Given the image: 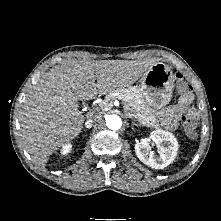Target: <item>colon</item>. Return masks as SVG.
<instances>
[{"label":"colon","instance_id":"obj_1","mask_svg":"<svg viewBox=\"0 0 221 221\" xmlns=\"http://www.w3.org/2000/svg\"><path fill=\"white\" fill-rule=\"evenodd\" d=\"M175 84L177 89L183 94V96L189 97L191 95L190 85L184 81L183 76L180 73L175 75ZM182 127L184 132L189 137H195L196 135V119L194 115L188 114L182 118Z\"/></svg>","mask_w":221,"mask_h":221}]
</instances>
